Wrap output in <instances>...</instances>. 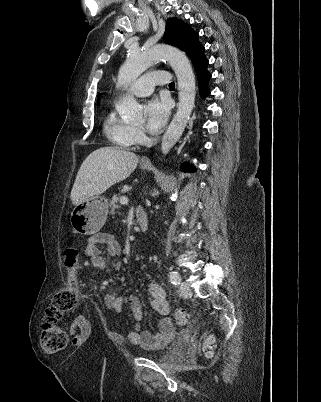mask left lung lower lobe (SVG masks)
I'll return each mask as SVG.
<instances>
[{
	"label": "left lung lower lobe",
	"instance_id": "left-lung-lower-lobe-1",
	"mask_svg": "<svg viewBox=\"0 0 321 402\" xmlns=\"http://www.w3.org/2000/svg\"><path fill=\"white\" fill-rule=\"evenodd\" d=\"M190 58L197 73L201 95L203 98H205L209 94L207 83L211 78V75L207 71L208 60L204 56V47L199 44L190 54ZM181 169L184 172L196 171V168L194 166H188L187 164H183L181 166Z\"/></svg>",
	"mask_w": 321,
	"mask_h": 402
}]
</instances>
